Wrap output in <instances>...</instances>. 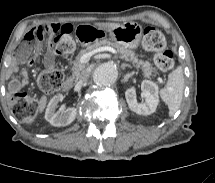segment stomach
Listing matches in <instances>:
<instances>
[{"instance_id":"stomach-1","label":"stomach","mask_w":215,"mask_h":183,"mask_svg":"<svg viewBox=\"0 0 215 183\" xmlns=\"http://www.w3.org/2000/svg\"><path fill=\"white\" fill-rule=\"evenodd\" d=\"M107 32L112 41L128 49H136L142 38V28L136 23H124Z\"/></svg>"}]
</instances>
